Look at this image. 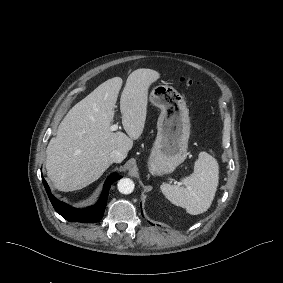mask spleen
I'll return each instance as SVG.
<instances>
[{"instance_id": "1", "label": "spleen", "mask_w": 283, "mask_h": 283, "mask_svg": "<svg viewBox=\"0 0 283 283\" xmlns=\"http://www.w3.org/2000/svg\"><path fill=\"white\" fill-rule=\"evenodd\" d=\"M218 175L219 166L215 158L200 152L194 172L183 179L186 187L163 183L160 188L172 204L185 208L191 215H198L211 206L218 186Z\"/></svg>"}]
</instances>
